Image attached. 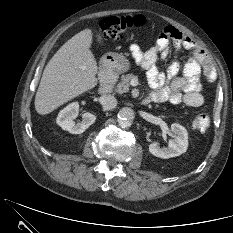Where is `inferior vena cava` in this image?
Instances as JSON below:
<instances>
[{"label":"inferior vena cava","mask_w":233,"mask_h":233,"mask_svg":"<svg viewBox=\"0 0 233 233\" xmlns=\"http://www.w3.org/2000/svg\"><path fill=\"white\" fill-rule=\"evenodd\" d=\"M105 109H113L117 105V99L113 95H103L100 100Z\"/></svg>","instance_id":"inferior-vena-cava-1"}]
</instances>
